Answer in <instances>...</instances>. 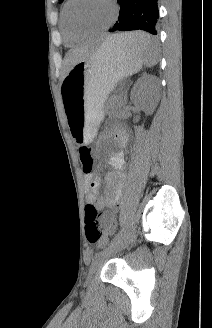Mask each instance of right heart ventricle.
<instances>
[{"label": "right heart ventricle", "instance_id": "e07e8e85", "mask_svg": "<svg viewBox=\"0 0 212 328\" xmlns=\"http://www.w3.org/2000/svg\"><path fill=\"white\" fill-rule=\"evenodd\" d=\"M65 5L63 6V10H62V15H61V28H62V33L64 36V40L66 42V44L68 45H73L79 41H81L83 38H85L86 36H78V35H74L72 34L67 27L66 21H65V17H64V9H65Z\"/></svg>", "mask_w": 212, "mask_h": 328}]
</instances>
